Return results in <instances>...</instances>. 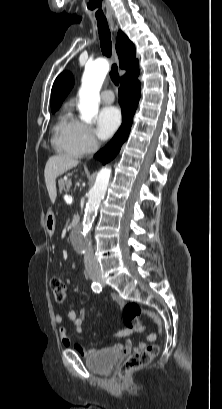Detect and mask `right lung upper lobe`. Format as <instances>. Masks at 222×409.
Here are the masks:
<instances>
[{
  "mask_svg": "<svg viewBox=\"0 0 222 409\" xmlns=\"http://www.w3.org/2000/svg\"><path fill=\"white\" fill-rule=\"evenodd\" d=\"M116 51L120 61V68L127 70L121 77V82L132 75L139 73L138 60L135 58V47L128 37L119 30L116 40ZM74 85V80L69 72H64L57 77L51 92V109L58 110L64 98Z\"/></svg>",
  "mask_w": 222,
  "mask_h": 409,
  "instance_id": "obj_1",
  "label": "right lung upper lobe"
}]
</instances>
